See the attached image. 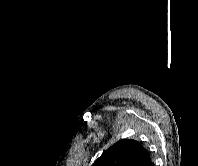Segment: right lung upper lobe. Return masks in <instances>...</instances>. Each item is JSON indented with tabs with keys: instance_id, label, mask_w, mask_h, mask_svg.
Segmentation results:
<instances>
[{
	"instance_id": "1",
	"label": "right lung upper lobe",
	"mask_w": 198,
	"mask_h": 166,
	"mask_svg": "<svg viewBox=\"0 0 198 166\" xmlns=\"http://www.w3.org/2000/svg\"><path fill=\"white\" fill-rule=\"evenodd\" d=\"M149 152L136 140L123 139L111 147L92 166H150Z\"/></svg>"
}]
</instances>
